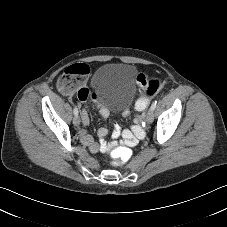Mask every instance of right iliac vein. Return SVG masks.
Segmentation results:
<instances>
[{
  "label": "right iliac vein",
  "mask_w": 227,
  "mask_h": 227,
  "mask_svg": "<svg viewBox=\"0 0 227 227\" xmlns=\"http://www.w3.org/2000/svg\"><path fill=\"white\" fill-rule=\"evenodd\" d=\"M80 122H81V120H80V118H79L78 116H75V117L73 118V124H74L75 126H79V125H80Z\"/></svg>",
  "instance_id": "63e3f726"
}]
</instances>
